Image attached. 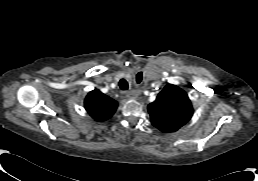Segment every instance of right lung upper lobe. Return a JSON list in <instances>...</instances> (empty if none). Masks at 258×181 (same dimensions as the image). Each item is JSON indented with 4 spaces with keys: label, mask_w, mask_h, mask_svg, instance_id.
Instances as JSON below:
<instances>
[{
    "label": "right lung upper lobe",
    "mask_w": 258,
    "mask_h": 181,
    "mask_svg": "<svg viewBox=\"0 0 258 181\" xmlns=\"http://www.w3.org/2000/svg\"><path fill=\"white\" fill-rule=\"evenodd\" d=\"M84 104L91 117L100 122L109 119L117 109V102L97 89L88 93Z\"/></svg>",
    "instance_id": "obj_1"
}]
</instances>
